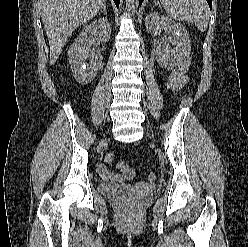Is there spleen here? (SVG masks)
<instances>
[{"label":"spleen","instance_id":"spleen-1","mask_svg":"<svg viewBox=\"0 0 248 247\" xmlns=\"http://www.w3.org/2000/svg\"><path fill=\"white\" fill-rule=\"evenodd\" d=\"M167 15L178 21L194 23L200 31H205L209 21L206 0H160Z\"/></svg>","mask_w":248,"mask_h":247}]
</instances>
